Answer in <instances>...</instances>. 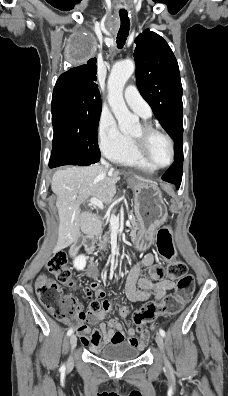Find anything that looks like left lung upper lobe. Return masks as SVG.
<instances>
[{
	"label": "left lung upper lobe",
	"instance_id": "1",
	"mask_svg": "<svg viewBox=\"0 0 228 396\" xmlns=\"http://www.w3.org/2000/svg\"><path fill=\"white\" fill-rule=\"evenodd\" d=\"M135 43L137 87L175 141L183 136L182 85L177 60L167 42L150 30L143 31Z\"/></svg>",
	"mask_w": 228,
	"mask_h": 396
}]
</instances>
